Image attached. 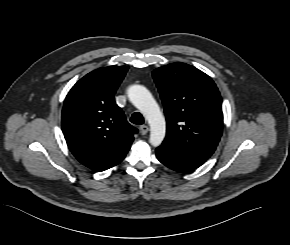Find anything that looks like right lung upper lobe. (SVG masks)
<instances>
[{"label":"right lung upper lobe","instance_id":"1","mask_svg":"<svg viewBox=\"0 0 290 245\" xmlns=\"http://www.w3.org/2000/svg\"><path fill=\"white\" fill-rule=\"evenodd\" d=\"M127 70V66L94 70L72 87L64 101L62 130L67 145L80 163L97 172L119 164L137 133L114 100Z\"/></svg>","mask_w":290,"mask_h":245}]
</instances>
